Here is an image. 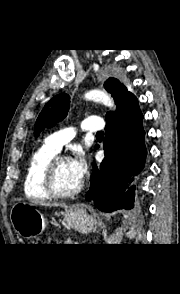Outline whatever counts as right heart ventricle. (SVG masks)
<instances>
[{
  "mask_svg": "<svg viewBox=\"0 0 180 294\" xmlns=\"http://www.w3.org/2000/svg\"><path fill=\"white\" fill-rule=\"evenodd\" d=\"M56 154L57 152L45 144L33 153L26 169L23 184L24 193L27 197L37 200L51 199L43 188V172Z\"/></svg>",
  "mask_w": 180,
  "mask_h": 294,
  "instance_id": "obj_1",
  "label": "right heart ventricle"
}]
</instances>
